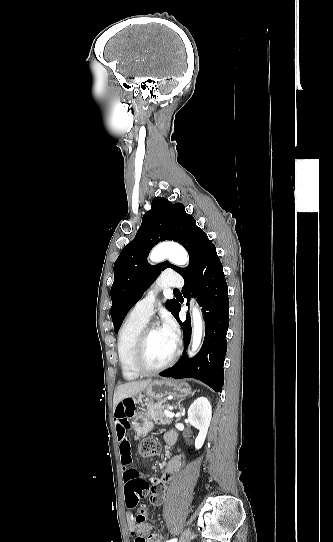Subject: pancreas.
<instances>
[{"label":"pancreas","mask_w":333,"mask_h":542,"mask_svg":"<svg viewBox=\"0 0 333 542\" xmlns=\"http://www.w3.org/2000/svg\"><path fill=\"white\" fill-rule=\"evenodd\" d=\"M144 406H146L147 410L146 412H140L139 418L153 420L156 424H164V426H166V424H172V418H167L164 414V410L170 406V404H167L166 400L157 402V404H154V402H146Z\"/></svg>","instance_id":"1"}]
</instances>
